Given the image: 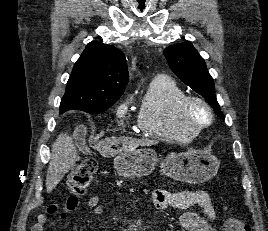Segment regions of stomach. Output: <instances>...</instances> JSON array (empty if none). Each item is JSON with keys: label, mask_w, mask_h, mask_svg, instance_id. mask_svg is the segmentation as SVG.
<instances>
[{"label": "stomach", "mask_w": 268, "mask_h": 231, "mask_svg": "<svg viewBox=\"0 0 268 231\" xmlns=\"http://www.w3.org/2000/svg\"><path fill=\"white\" fill-rule=\"evenodd\" d=\"M158 162L157 153L150 148L121 151L114 159L117 173L124 178H138L151 174ZM219 161L213 155L196 151L171 153L161 162L162 173L176 181L203 183L218 171Z\"/></svg>", "instance_id": "stomach-1"}]
</instances>
